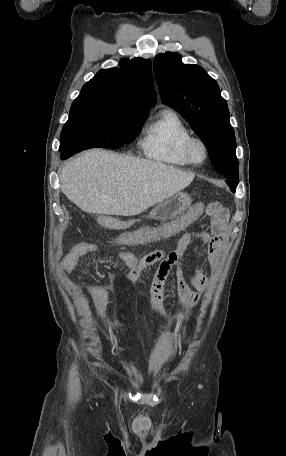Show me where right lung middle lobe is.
Listing matches in <instances>:
<instances>
[{"label":"right lung middle lobe","instance_id":"right-lung-middle-lobe-1","mask_svg":"<svg viewBox=\"0 0 286 456\" xmlns=\"http://www.w3.org/2000/svg\"><path fill=\"white\" fill-rule=\"evenodd\" d=\"M148 113L129 112L102 105L72 103L60 135L61 159L84 149H117L134 141Z\"/></svg>","mask_w":286,"mask_h":456}]
</instances>
